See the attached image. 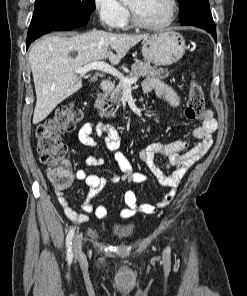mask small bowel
I'll return each mask as SVG.
<instances>
[{
	"instance_id": "c3829d8e",
	"label": "small bowel",
	"mask_w": 247,
	"mask_h": 296,
	"mask_svg": "<svg viewBox=\"0 0 247 296\" xmlns=\"http://www.w3.org/2000/svg\"><path fill=\"white\" fill-rule=\"evenodd\" d=\"M145 93H158L170 106H177L179 103L178 93L155 78H147L142 84ZM218 123L214 118L211 109L204 110L201 124L193 130L197 142L190 144L187 141H176L168 144H151L139 151V158L148 167L151 174L158 182L171 190L160 201L155 204L139 203V195L133 189L124 194L125 207L120 212L122 219H129L138 212L155 214L159 209L165 208L172 202L177 188L188 168L206 154L212 145V134L217 130ZM96 135L100 142L93 138ZM78 137L82 144L99 149L102 143L106 149L113 152L114 160L121 171V174L109 170L108 178L97 176L91 169L104 164L101 156H87L84 159V167L76 171L78 180L84 181L88 186V192L81 208L84 213L77 212L67 200L62 191L56 192L59 204L62 206L66 216L77 223H86L89 220L88 214H94L99 220L108 218V210L104 205L94 206L92 199L106 186L108 180L113 183L126 182L136 186L149 180L146 174L133 171L128 158L120 151V140L117 128L112 123L87 122L78 131ZM156 157H163L167 160V167H172L171 173H165L156 165Z\"/></svg>"
}]
</instances>
